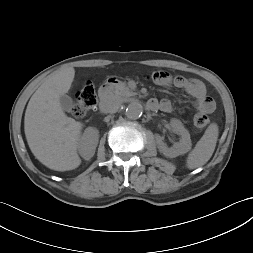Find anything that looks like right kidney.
Wrapping results in <instances>:
<instances>
[{
    "label": "right kidney",
    "instance_id": "ca27d5eb",
    "mask_svg": "<svg viewBox=\"0 0 253 253\" xmlns=\"http://www.w3.org/2000/svg\"><path fill=\"white\" fill-rule=\"evenodd\" d=\"M99 140V131L94 127L85 129L78 141V151L85 160L91 159L94 154Z\"/></svg>",
    "mask_w": 253,
    "mask_h": 253
}]
</instances>
